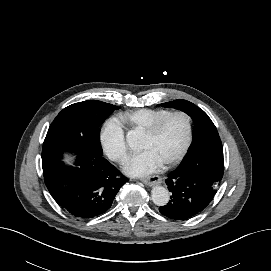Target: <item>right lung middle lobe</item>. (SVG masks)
Segmentation results:
<instances>
[{
    "mask_svg": "<svg viewBox=\"0 0 271 271\" xmlns=\"http://www.w3.org/2000/svg\"><path fill=\"white\" fill-rule=\"evenodd\" d=\"M118 107L89 100L64 108L49 127L43 143L42 161L56 158L64 150H81L102 156L99 125Z\"/></svg>",
    "mask_w": 271,
    "mask_h": 271,
    "instance_id": "obj_1",
    "label": "right lung middle lobe"
}]
</instances>
